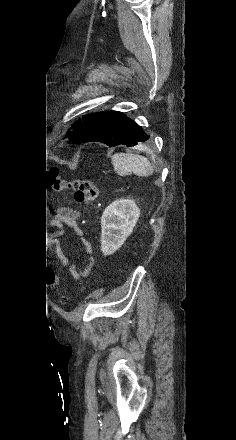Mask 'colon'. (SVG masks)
<instances>
[{
    "instance_id": "obj_1",
    "label": "colon",
    "mask_w": 236,
    "mask_h": 440,
    "mask_svg": "<svg viewBox=\"0 0 236 440\" xmlns=\"http://www.w3.org/2000/svg\"><path fill=\"white\" fill-rule=\"evenodd\" d=\"M49 186L57 191L70 190L74 192L75 200L82 205H86L95 200L98 195V187L90 178L67 181L61 178V172L58 168L52 167L48 171ZM47 285H57L59 279L57 276H47L45 279Z\"/></svg>"
}]
</instances>
